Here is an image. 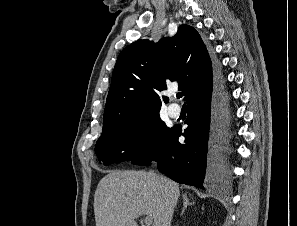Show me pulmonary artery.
<instances>
[{
  "mask_svg": "<svg viewBox=\"0 0 297 226\" xmlns=\"http://www.w3.org/2000/svg\"><path fill=\"white\" fill-rule=\"evenodd\" d=\"M168 112L171 117H178L181 113V107L176 103H172L168 107Z\"/></svg>",
  "mask_w": 297,
  "mask_h": 226,
  "instance_id": "e3ab8cb5",
  "label": "pulmonary artery"
}]
</instances>
